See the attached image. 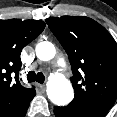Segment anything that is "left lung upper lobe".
Segmentation results:
<instances>
[{"label": "left lung upper lobe", "mask_w": 117, "mask_h": 117, "mask_svg": "<svg viewBox=\"0 0 117 117\" xmlns=\"http://www.w3.org/2000/svg\"><path fill=\"white\" fill-rule=\"evenodd\" d=\"M46 22L72 67L75 96L70 105L107 113L117 98L116 41L88 17H50Z\"/></svg>", "instance_id": "left-lung-upper-lobe-1"}]
</instances>
